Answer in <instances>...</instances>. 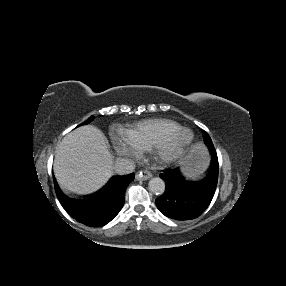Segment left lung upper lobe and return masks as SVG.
<instances>
[{
	"instance_id": "5c2ea615",
	"label": "left lung upper lobe",
	"mask_w": 286,
	"mask_h": 286,
	"mask_svg": "<svg viewBox=\"0 0 286 286\" xmlns=\"http://www.w3.org/2000/svg\"><path fill=\"white\" fill-rule=\"evenodd\" d=\"M202 133H203V139H204L205 144L208 146V148L210 150L214 149L212 140H211L210 136L208 135V133L203 131V130H202Z\"/></svg>"
}]
</instances>
